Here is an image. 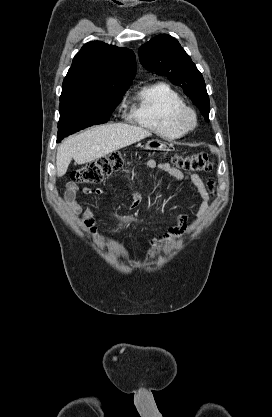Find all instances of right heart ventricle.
I'll return each instance as SVG.
<instances>
[{
    "instance_id": "obj_1",
    "label": "right heart ventricle",
    "mask_w": 272,
    "mask_h": 417,
    "mask_svg": "<svg viewBox=\"0 0 272 417\" xmlns=\"http://www.w3.org/2000/svg\"><path fill=\"white\" fill-rule=\"evenodd\" d=\"M186 106L182 96L165 82L145 85L135 95L131 122L163 138L177 139L184 132L174 122L176 111Z\"/></svg>"
}]
</instances>
